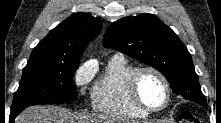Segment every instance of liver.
<instances>
[{
    "label": "liver",
    "mask_w": 221,
    "mask_h": 123,
    "mask_svg": "<svg viewBox=\"0 0 221 123\" xmlns=\"http://www.w3.org/2000/svg\"><path fill=\"white\" fill-rule=\"evenodd\" d=\"M99 123L102 119H94L89 115L72 113L58 106H31L25 109L15 123Z\"/></svg>",
    "instance_id": "1"
}]
</instances>
